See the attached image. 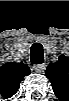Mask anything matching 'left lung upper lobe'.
I'll list each match as a JSON object with an SVG mask.
<instances>
[{
	"mask_svg": "<svg viewBox=\"0 0 69 101\" xmlns=\"http://www.w3.org/2000/svg\"><path fill=\"white\" fill-rule=\"evenodd\" d=\"M69 58L61 55L58 62L51 63L46 70V76L51 81L53 91L59 97L69 84Z\"/></svg>",
	"mask_w": 69,
	"mask_h": 101,
	"instance_id": "left-lung-upper-lobe-1",
	"label": "left lung upper lobe"
}]
</instances>
